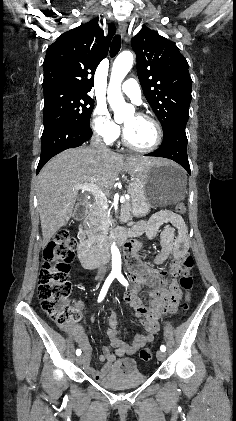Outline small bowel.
I'll return each mask as SVG.
<instances>
[{
  "mask_svg": "<svg viewBox=\"0 0 236 421\" xmlns=\"http://www.w3.org/2000/svg\"><path fill=\"white\" fill-rule=\"evenodd\" d=\"M167 224L165 227L162 238L165 244V248L168 247L169 242L173 239L175 231L178 232V241L176 243V255L178 258H181L184 254H186L188 250L187 244V227L183 218L171 211H161L154 214L150 219L145 221H140L136 225H134L131 229L134 230L138 235L142 233H146L149 239H153L159 228L162 225ZM137 288L129 293L126 296V300L130 303V305L134 308L140 307L139 299L136 296ZM84 304L81 301L76 302V308L81 310L83 309ZM109 325L111 329H117V317L115 313H112L109 317ZM157 329L156 323L154 324V333ZM66 331L70 334L78 333L83 338L82 342H79L81 346L86 350V354L84 356V362L86 360L89 361V344L87 341V337L83 331V328L80 325H70L66 328ZM117 331V330H116ZM153 333V334H154ZM153 334H151L144 342H149L153 338Z\"/></svg>",
  "mask_w": 236,
  "mask_h": 421,
  "instance_id": "1",
  "label": "small bowel"
}]
</instances>
